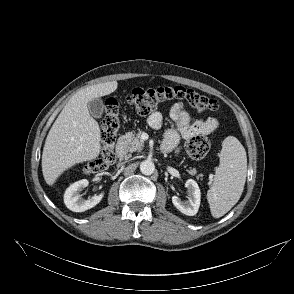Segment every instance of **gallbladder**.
I'll list each match as a JSON object with an SVG mask.
<instances>
[{"label": "gallbladder", "instance_id": "obj_1", "mask_svg": "<svg viewBox=\"0 0 294 294\" xmlns=\"http://www.w3.org/2000/svg\"><path fill=\"white\" fill-rule=\"evenodd\" d=\"M88 110L92 117L100 118L104 110V103L101 99L95 98L88 103Z\"/></svg>", "mask_w": 294, "mask_h": 294}]
</instances>
